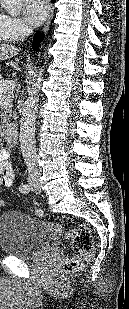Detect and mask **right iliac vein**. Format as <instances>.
Masks as SVG:
<instances>
[{
	"label": "right iliac vein",
	"instance_id": "63e3f726",
	"mask_svg": "<svg viewBox=\"0 0 129 309\" xmlns=\"http://www.w3.org/2000/svg\"><path fill=\"white\" fill-rule=\"evenodd\" d=\"M35 182V179L30 180V184H33Z\"/></svg>",
	"mask_w": 129,
	"mask_h": 309
}]
</instances>
